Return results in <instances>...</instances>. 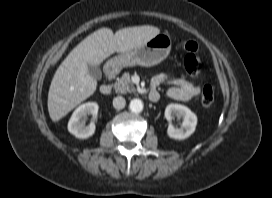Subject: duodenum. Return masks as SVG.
<instances>
[{"instance_id": "1", "label": "duodenum", "mask_w": 272, "mask_h": 198, "mask_svg": "<svg viewBox=\"0 0 272 198\" xmlns=\"http://www.w3.org/2000/svg\"><path fill=\"white\" fill-rule=\"evenodd\" d=\"M118 74V70L114 66H110L106 70V75L110 81L114 80ZM100 93L102 95H109L112 92V86L110 83L103 84L100 86L99 89ZM149 99L151 101L158 100L159 94L157 90H154L153 88L149 91Z\"/></svg>"}]
</instances>
